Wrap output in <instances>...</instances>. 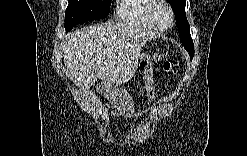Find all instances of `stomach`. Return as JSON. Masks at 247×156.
Listing matches in <instances>:
<instances>
[{
  "instance_id": "stomach-1",
  "label": "stomach",
  "mask_w": 247,
  "mask_h": 156,
  "mask_svg": "<svg viewBox=\"0 0 247 156\" xmlns=\"http://www.w3.org/2000/svg\"><path fill=\"white\" fill-rule=\"evenodd\" d=\"M143 61V56H140V63Z\"/></svg>"
}]
</instances>
